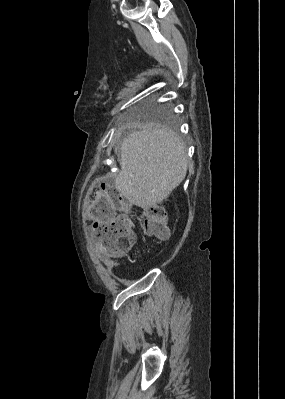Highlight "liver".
Segmentation results:
<instances>
[{
  "label": "liver",
  "mask_w": 285,
  "mask_h": 399,
  "mask_svg": "<svg viewBox=\"0 0 285 399\" xmlns=\"http://www.w3.org/2000/svg\"><path fill=\"white\" fill-rule=\"evenodd\" d=\"M120 171L115 187L131 204L143 209L163 202L184 180L188 157L173 131L149 124L121 142Z\"/></svg>",
  "instance_id": "6515ba94"
}]
</instances>
